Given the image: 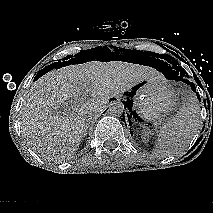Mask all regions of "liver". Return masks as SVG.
<instances>
[{
  "instance_id": "6515ba94",
  "label": "liver",
  "mask_w": 213,
  "mask_h": 213,
  "mask_svg": "<svg viewBox=\"0 0 213 213\" xmlns=\"http://www.w3.org/2000/svg\"><path fill=\"white\" fill-rule=\"evenodd\" d=\"M151 77L160 75L147 66L123 61H89L53 69L35 81L25 97L22 135L40 157L68 161L81 143L89 114L103 111L111 97ZM84 90L92 98L79 105L74 100ZM70 102L69 108L62 109Z\"/></svg>"
}]
</instances>
